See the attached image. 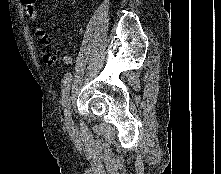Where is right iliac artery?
<instances>
[{"mask_svg":"<svg viewBox=\"0 0 221 174\" xmlns=\"http://www.w3.org/2000/svg\"><path fill=\"white\" fill-rule=\"evenodd\" d=\"M71 81H72L71 73L65 74L64 79H63V89H62V105L63 106H65L67 98L69 96Z\"/></svg>","mask_w":221,"mask_h":174,"instance_id":"right-iliac-artery-1","label":"right iliac artery"}]
</instances>
